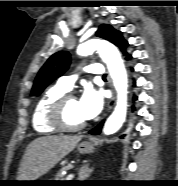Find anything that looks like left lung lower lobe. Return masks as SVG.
<instances>
[{
  "label": "left lung lower lobe",
  "instance_id": "obj_1",
  "mask_svg": "<svg viewBox=\"0 0 178 186\" xmlns=\"http://www.w3.org/2000/svg\"><path fill=\"white\" fill-rule=\"evenodd\" d=\"M130 58H131V56L127 57V59H130ZM136 99H137V97H134V100H136ZM103 123L104 122L102 121L97 127H95L94 129L90 130L89 133L92 134V135L100 134L102 126H103Z\"/></svg>",
  "mask_w": 178,
  "mask_h": 186
}]
</instances>
